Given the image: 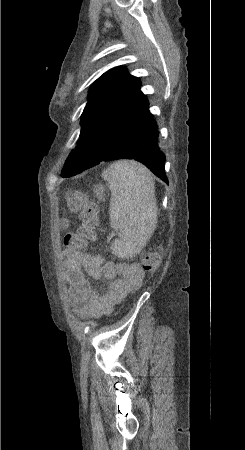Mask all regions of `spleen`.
I'll return each mask as SVG.
<instances>
[{"label": "spleen", "instance_id": "1", "mask_svg": "<svg viewBox=\"0 0 245 450\" xmlns=\"http://www.w3.org/2000/svg\"><path fill=\"white\" fill-rule=\"evenodd\" d=\"M102 177L111 190V227L121 234L111 251L122 259L131 258L141 251L156 227L153 177L136 161H118L104 170Z\"/></svg>", "mask_w": 245, "mask_h": 450}]
</instances>
